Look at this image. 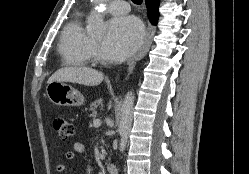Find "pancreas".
<instances>
[{
    "label": "pancreas",
    "mask_w": 249,
    "mask_h": 174,
    "mask_svg": "<svg viewBox=\"0 0 249 174\" xmlns=\"http://www.w3.org/2000/svg\"><path fill=\"white\" fill-rule=\"evenodd\" d=\"M102 99H98L90 104L89 111L91 112L90 116L95 117L97 115V109L102 110Z\"/></svg>",
    "instance_id": "1"
}]
</instances>
